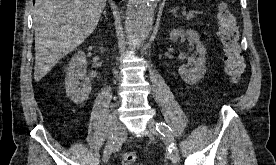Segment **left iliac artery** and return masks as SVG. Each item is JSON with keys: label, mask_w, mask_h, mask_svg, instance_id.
<instances>
[{"label": "left iliac artery", "mask_w": 276, "mask_h": 165, "mask_svg": "<svg viewBox=\"0 0 276 165\" xmlns=\"http://www.w3.org/2000/svg\"><path fill=\"white\" fill-rule=\"evenodd\" d=\"M156 129L158 130V132L161 135H163L164 138H169L172 135L171 128L163 122L157 123L156 124ZM169 151H170V149H169Z\"/></svg>", "instance_id": "1"}]
</instances>
